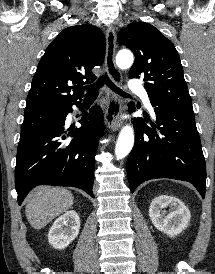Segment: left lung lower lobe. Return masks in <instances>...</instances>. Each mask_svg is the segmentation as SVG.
I'll list each match as a JSON object with an SVG mask.
<instances>
[{"label": "left lung lower lobe", "mask_w": 215, "mask_h": 274, "mask_svg": "<svg viewBox=\"0 0 215 274\" xmlns=\"http://www.w3.org/2000/svg\"><path fill=\"white\" fill-rule=\"evenodd\" d=\"M156 119H134L135 144L127 160L131 192L157 178L191 182L205 197L206 164L194 112L151 100ZM131 112L134 103H129Z\"/></svg>", "instance_id": "left-lung-lower-lobe-1"}]
</instances>
